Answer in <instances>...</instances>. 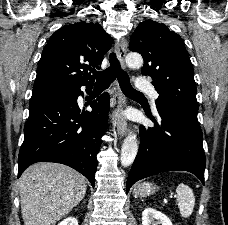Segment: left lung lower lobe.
<instances>
[{
    "mask_svg": "<svg viewBox=\"0 0 228 225\" xmlns=\"http://www.w3.org/2000/svg\"><path fill=\"white\" fill-rule=\"evenodd\" d=\"M156 107L161 124L154 121V128L140 127V147L128 175L126 191L143 178L175 170L189 171L204 184L206 158L198 109L166 102L156 103Z\"/></svg>",
    "mask_w": 228,
    "mask_h": 225,
    "instance_id": "0a47b994",
    "label": "left lung lower lobe"
}]
</instances>
